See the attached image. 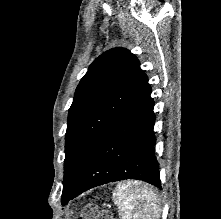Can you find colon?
I'll return each mask as SVG.
<instances>
[{
	"mask_svg": "<svg viewBox=\"0 0 221 219\" xmlns=\"http://www.w3.org/2000/svg\"><path fill=\"white\" fill-rule=\"evenodd\" d=\"M77 219H116L108 212L102 211L93 205L84 207Z\"/></svg>",
	"mask_w": 221,
	"mask_h": 219,
	"instance_id": "5ec220e1",
	"label": "colon"
}]
</instances>
